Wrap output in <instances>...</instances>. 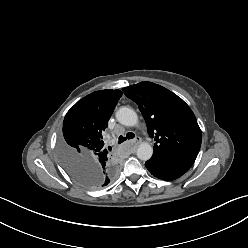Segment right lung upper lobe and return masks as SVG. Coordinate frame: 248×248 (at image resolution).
I'll return each mask as SVG.
<instances>
[{"label":"right lung upper lobe","mask_w":248,"mask_h":248,"mask_svg":"<svg viewBox=\"0 0 248 248\" xmlns=\"http://www.w3.org/2000/svg\"><path fill=\"white\" fill-rule=\"evenodd\" d=\"M121 96L120 90L95 91L79 100L63 122V155L80 157L100 172V184L93 188L106 186L117 173V162L105 147L102 132Z\"/></svg>","instance_id":"right-lung-upper-lobe-1"}]
</instances>
